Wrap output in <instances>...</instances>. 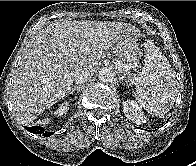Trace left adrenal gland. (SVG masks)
Listing matches in <instances>:
<instances>
[{
    "label": "left adrenal gland",
    "instance_id": "left-adrenal-gland-1",
    "mask_svg": "<svg viewBox=\"0 0 196 166\" xmlns=\"http://www.w3.org/2000/svg\"><path fill=\"white\" fill-rule=\"evenodd\" d=\"M119 79H120L121 81H124V82L128 85L129 80H126V79L124 78L123 75H121Z\"/></svg>",
    "mask_w": 196,
    "mask_h": 166
}]
</instances>
